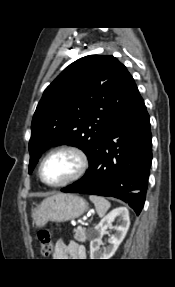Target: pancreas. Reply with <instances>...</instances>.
<instances>
[{
  "instance_id": "obj_1",
  "label": "pancreas",
  "mask_w": 175,
  "mask_h": 287,
  "mask_svg": "<svg viewBox=\"0 0 175 287\" xmlns=\"http://www.w3.org/2000/svg\"><path fill=\"white\" fill-rule=\"evenodd\" d=\"M74 238L79 242L86 241V229L84 227H77L74 229Z\"/></svg>"
}]
</instances>
